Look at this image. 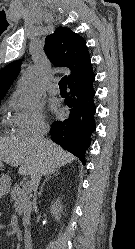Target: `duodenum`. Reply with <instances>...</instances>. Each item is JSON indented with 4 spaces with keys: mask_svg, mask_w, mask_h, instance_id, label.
I'll return each mask as SVG.
<instances>
[{
    "mask_svg": "<svg viewBox=\"0 0 135 249\" xmlns=\"http://www.w3.org/2000/svg\"><path fill=\"white\" fill-rule=\"evenodd\" d=\"M26 243H27V244H29V245H32V244H33L31 234H28V240H27V242H26Z\"/></svg>",
    "mask_w": 135,
    "mask_h": 249,
    "instance_id": "duodenum-1",
    "label": "duodenum"
}]
</instances>
